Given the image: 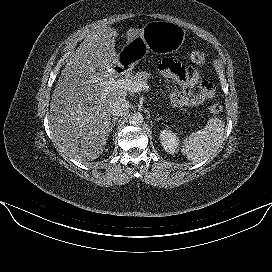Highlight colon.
<instances>
[{
  "label": "colon",
  "instance_id": "obj_1",
  "mask_svg": "<svg viewBox=\"0 0 272 272\" xmlns=\"http://www.w3.org/2000/svg\"><path fill=\"white\" fill-rule=\"evenodd\" d=\"M191 61L197 66H202L204 64V54L201 51H194L190 55ZM209 111L213 114L220 113L222 111V106L219 104H214L209 108Z\"/></svg>",
  "mask_w": 272,
  "mask_h": 272
}]
</instances>
